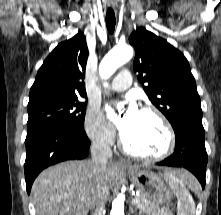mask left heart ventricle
<instances>
[{"mask_svg":"<svg viewBox=\"0 0 221 215\" xmlns=\"http://www.w3.org/2000/svg\"><path fill=\"white\" fill-rule=\"evenodd\" d=\"M122 136L131 150L141 154H157L167 143L161 122L153 114L141 111L130 130Z\"/></svg>","mask_w":221,"mask_h":215,"instance_id":"obj_1","label":"left heart ventricle"}]
</instances>
